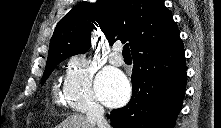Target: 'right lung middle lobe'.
Wrapping results in <instances>:
<instances>
[{"label": "right lung middle lobe", "mask_w": 221, "mask_h": 128, "mask_svg": "<svg viewBox=\"0 0 221 128\" xmlns=\"http://www.w3.org/2000/svg\"><path fill=\"white\" fill-rule=\"evenodd\" d=\"M66 58H63L61 60H58V61H55V62H52L50 64H47L46 67H45V71H44V74H43V77H42V80H41V84H43L46 79L49 77V75L51 74V72L54 70V68L63 60H65Z\"/></svg>", "instance_id": "1"}]
</instances>
